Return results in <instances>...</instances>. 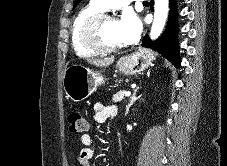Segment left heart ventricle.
Returning a JSON list of instances; mask_svg holds the SVG:
<instances>
[{
    "mask_svg": "<svg viewBox=\"0 0 227 166\" xmlns=\"http://www.w3.org/2000/svg\"><path fill=\"white\" fill-rule=\"evenodd\" d=\"M99 40L108 47L122 44L119 35L118 21L116 19H108L101 24L99 28Z\"/></svg>",
    "mask_w": 227,
    "mask_h": 166,
    "instance_id": "b2bd125f",
    "label": "left heart ventricle"
}]
</instances>
